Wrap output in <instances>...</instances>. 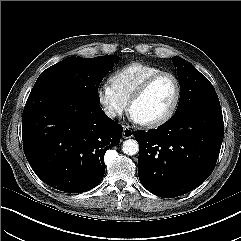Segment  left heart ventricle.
Returning <instances> with one entry per match:
<instances>
[{
	"instance_id": "1",
	"label": "left heart ventricle",
	"mask_w": 241,
	"mask_h": 241,
	"mask_svg": "<svg viewBox=\"0 0 241 241\" xmlns=\"http://www.w3.org/2000/svg\"><path fill=\"white\" fill-rule=\"evenodd\" d=\"M176 93L172 78L164 76L153 83L132 108V115L141 123L162 117L171 107Z\"/></svg>"
}]
</instances>
